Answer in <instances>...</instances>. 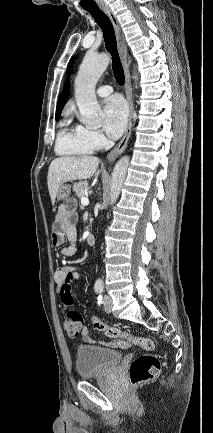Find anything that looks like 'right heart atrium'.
I'll return each mask as SVG.
<instances>
[{
    "instance_id": "d8ad5b80",
    "label": "right heart atrium",
    "mask_w": 213,
    "mask_h": 433,
    "mask_svg": "<svg viewBox=\"0 0 213 433\" xmlns=\"http://www.w3.org/2000/svg\"><path fill=\"white\" fill-rule=\"evenodd\" d=\"M87 135L95 148H100L106 143L105 137L98 130L86 129Z\"/></svg>"
}]
</instances>
